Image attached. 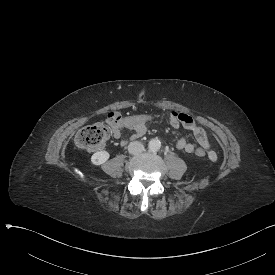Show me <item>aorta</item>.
<instances>
[{
    "label": "aorta",
    "instance_id": "762f6f07",
    "mask_svg": "<svg viewBox=\"0 0 275 275\" xmlns=\"http://www.w3.org/2000/svg\"><path fill=\"white\" fill-rule=\"evenodd\" d=\"M148 147L152 152L158 151L161 148V141L159 139H151Z\"/></svg>",
    "mask_w": 275,
    "mask_h": 275
}]
</instances>
